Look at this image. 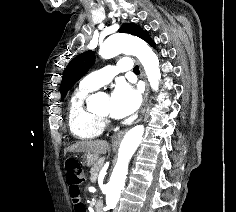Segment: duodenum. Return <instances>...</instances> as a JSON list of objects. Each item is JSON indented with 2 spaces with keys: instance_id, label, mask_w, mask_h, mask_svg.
<instances>
[{
  "instance_id": "duodenum-1",
  "label": "duodenum",
  "mask_w": 236,
  "mask_h": 212,
  "mask_svg": "<svg viewBox=\"0 0 236 212\" xmlns=\"http://www.w3.org/2000/svg\"><path fill=\"white\" fill-rule=\"evenodd\" d=\"M95 211L96 212H103L102 202L99 199H97L95 201Z\"/></svg>"
}]
</instances>
